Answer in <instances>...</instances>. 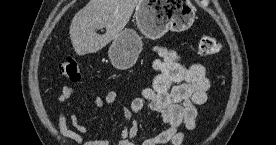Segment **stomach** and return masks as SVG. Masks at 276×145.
Returning a JSON list of instances; mask_svg holds the SVG:
<instances>
[{"instance_id":"stomach-1","label":"stomach","mask_w":276,"mask_h":145,"mask_svg":"<svg viewBox=\"0 0 276 145\" xmlns=\"http://www.w3.org/2000/svg\"><path fill=\"white\" fill-rule=\"evenodd\" d=\"M196 18V9L190 0H140L135 10L139 31L148 39L161 38L168 31L188 29ZM142 39L133 29H124L116 36L108 55L119 70L130 69L142 50Z\"/></svg>"}]
</instances>
